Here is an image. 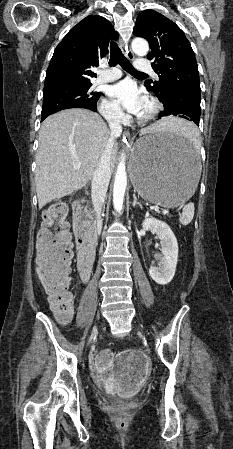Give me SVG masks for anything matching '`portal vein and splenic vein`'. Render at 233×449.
<instances>
[{
	"label": "portal vein and splenic vein",
	"instance_id": "1",
	"mask_svg": "<svg viewBox=\"0 0 233 449\" xmlns=\"http://www.w3.org/2000/svg\"><path fill=\"white\" fill-rule=\"evenodd\" d=\"M80 166H81V163H80L79 161H78L77 163L74 164V168H75V169L80 168ZM155 211H157V212H162V214H164V215H167V214L169 213V209H164V210L160 211V210H159V207H155Z\"/></svg>",
	"mask_w": 233,
	"mask_h": 449
}]
</instances>
